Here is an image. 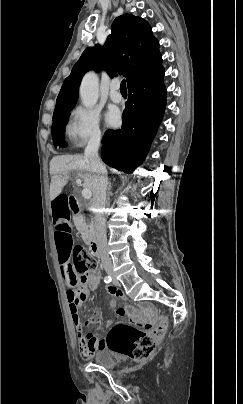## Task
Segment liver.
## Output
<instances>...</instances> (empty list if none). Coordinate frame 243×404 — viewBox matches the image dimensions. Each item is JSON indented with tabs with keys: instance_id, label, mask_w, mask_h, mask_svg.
<instances>
[{
	"instance_id": "1",
	"label": "liver",
	"mask_w": 243,
	"mask_h": 404,
	"mask_svg": "<svg viewBox=\"0 0 243 404\" xmlns=\"http://www.w3.org/2000/svg\"><path fill=\"white\" fill-rule=\"evenodd\" d=\"M71 172L83 178V188L93 192V180L89 160L85 156H55L50 162V200H55L66 186Z\"/></svg>"
}]
</instances>
